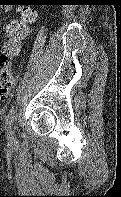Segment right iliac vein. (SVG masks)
<instances>
[{"label": "right iliac vein", "instance_id": "63e3f726", "mask_svg": "<svg viewBox=\"0 0 121 197\" xmlns=\"http://www.w3.org/2000/svg\"><path fill=\"white\" fill-rule=\"evenodd\" d=\"M8 142L9 145L15 146L17 144L16 134H15V127H11L10 132L8 134Z\"/></svg>", "mask_w": 121, "mask_h": 197}]
</instances>
